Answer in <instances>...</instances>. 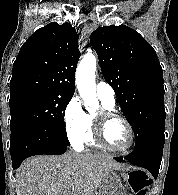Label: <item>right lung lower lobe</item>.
<instances>
[{"mask_svg": "<svg viewBox=\"0 0 178 195\" xmlns=\"http://www.w3.org/2000/svg\"><path fill=\"white\" fill-rule=\"evenodd\" d=\"M68 139L63 138L54 129L38 131H16L11 134L10 154L13 168L20 166L30 156L40 154H63L68 146Z\"/></svg>", "mask_w": 178, "mask_h": 195, "instance_id": "1", "label": "right lung lower lobe"}]
</instances>
